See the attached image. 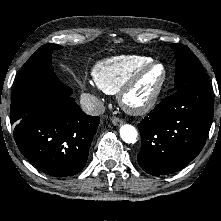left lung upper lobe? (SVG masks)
<instances>
[{"instance_id":"5c2ea615","label":"left lung upper lobe","mask_w":221,"mask_h":221,"mask_svg":"<svg viewBox=\"0 0 221 221\" xmlns=\"http://www.w3.org/2000/svg\"><path fill=\"white\" fill-rule=\"evenodd\" d=\"M176 55L175 88L194 82H207L202 64L190 49L181 44H171Z\"/></svg>"}]
</instances>
